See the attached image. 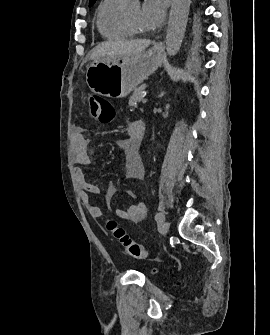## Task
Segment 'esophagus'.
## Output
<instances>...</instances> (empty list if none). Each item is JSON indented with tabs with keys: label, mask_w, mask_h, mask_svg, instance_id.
<instances>
[{
	"label": "esophagus",
	"mask_w": 270,
	"mask_h": 335,
	"mask_svg": "<svg viewBox=\"0 0 270 335\" xmlns=\"http://www.w3.org/2000/svg\"><path fill=\"white\" fill-rule=\"evenodd\" d=\"M156 48H161L162 47V42H158L156 45H155Z\"/></svg>",
	"instance_id": "obj_1"
}]
</instances>
